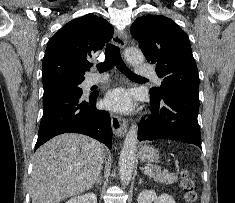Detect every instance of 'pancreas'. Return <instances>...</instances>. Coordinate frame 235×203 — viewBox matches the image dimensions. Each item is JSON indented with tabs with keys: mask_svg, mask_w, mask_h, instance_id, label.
<instances>
[{
	"mask_svg": "<svg viewBox=\"0 0 235 203\" xmlns=\"http://www.w3.org/2000/svg\"><path fill=\"white\" fill-rule=\"evenodd\" d=\"M147 168L153 169L148 174L151 178H154V180L159 181L160 183L173 184L178 179L176 175L169 174L167 171L161 172L160 170H157V168L152 165H148Z\"/></svg>",
	"mask_w": 235,
	"mask_h": 203,
	"instance_id": "1",
	"label": "pancreas"
}]
</instances>
